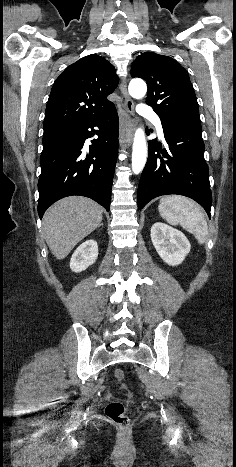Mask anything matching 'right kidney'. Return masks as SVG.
I'll list each match as a JSON object with an SVG mask.
<instances>
[{
  "mask_svg": "<svg viewBox=\"0 0 236 467\" xmlns=\"http://www.w3.org/2000/svg\"><path fill=\"white\" fill-rule=\"evenodd\" d=\"M98 257V245L95 240H87L73 253L70 260V268L74 272L86 270L95 263Z\"/></svg>",
  "mask_w": 236,
  "mask_h": 467,
  "instance_id": "right-kidney-1",
  "label": "right kidney"
}]
</instances>
